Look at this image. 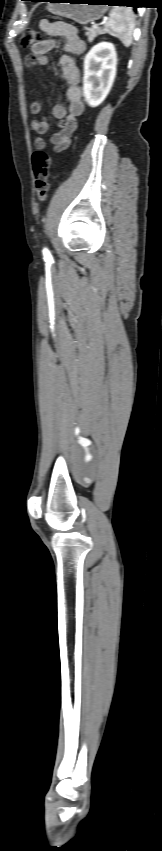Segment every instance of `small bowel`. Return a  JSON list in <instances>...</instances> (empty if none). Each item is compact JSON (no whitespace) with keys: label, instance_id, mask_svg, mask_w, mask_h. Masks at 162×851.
<instances>
[{"label":"small bowel","instance_id":"small-bowel-1","mask_svg":"<svg viewBox=\"0 0 162 851\" xmlns=\"http://www.w3.org/2000/svg\"><path fill=\"white\" fill-rule=\"evenodd\" d=\"M40 29L46 35V39L39 41L31 47L30 54L26 57L28 66H45L49 64L47 53L51 51L57 44L58 39H63V46L66 52L71 54H82L86 48L85 42L79 37L78 30L71 24L63 21H50L43 19L39 23ZM60 67L62 76L67 84L64 98L67 101V107L58 103L52 108V115L59 120V130L51 135L48 139L37 137L34 140L36 149L42 150L47 145H52L55 152L59 153L66 150L71 142V135L77 128L76 118L84 111V103L81 99L80 70L69 55H63L60 59ZM41 103L35 100L30 105L32 114H39L41 111ZM33 130L38 134L48 132L49 124L46 118L34 120L32 122Z\"/></svg>","mask_w":162,"mask_h":851}]
</instances>
